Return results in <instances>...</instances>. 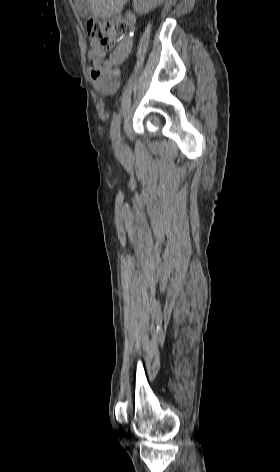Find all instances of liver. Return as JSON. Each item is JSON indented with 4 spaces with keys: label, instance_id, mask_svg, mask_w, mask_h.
<instances>
[{
    "label": "liver",
    "instance_id": "1",
    "mask_svg": "<svg viewBox=\"0 0 280 472\" xmlns=\"http://www.w3.org/2000/svg\"><path fill=\"white\" fill-rule=\"evenodd\" d=\"M128 0H89L92 14L96 18L110 19L123 10Z\"/></svg>",
    "mask_w": 280,
    "mask_h": 472
}]
</instances>
